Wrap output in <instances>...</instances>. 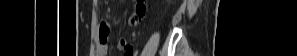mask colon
Here are the masks:
<instances>
[{
  "label": "colon",
  "instance_id": "colon-1",
  "mask_svg": "<svg viewBox=\"0 0 297 56\" xmlns=\"http://www.w3.org/2000/svg\"><path fill=\"white\" fill-rule=\"evenodd\" d=\"M147 11V1L146 0H137L135 6V17L134 22H140L146 15ZM110 32V28L107 23H102L100 27V39L106 41V38Z\"/></svg>",
  "mask_w": 297,
  "mask_h": 56
}]
</instances>
